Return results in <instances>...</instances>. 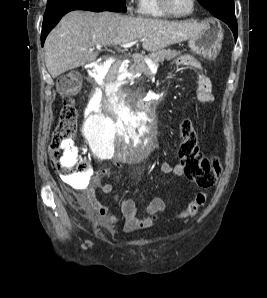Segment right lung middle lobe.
Returning <instances> with one entry per match:
<instances>
[{"label": "right lung middle lobe", "instance_id": "1", "mask_svg": "<svg viewBox=\"0 0 267 298\" xmlns=\"http://www.w3.org/2000/svg\"><path fill=\"white\" fill-rule=\"evenodd\" d=\"M73 3H88L100 8L115 11L126 12L125 0H48L44 18H48L57 10Z\"/></svg>", "mask_w": 267, "mask_h": 298}]
</instances>
